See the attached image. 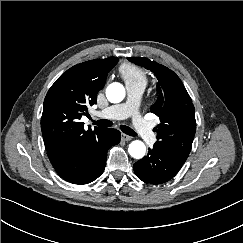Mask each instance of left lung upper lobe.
<instances>
[{"instance_id":"1","label":"left lung upper lobe","mask_w":243,"mask_h":243,"mask_svg":"<svg viewBox=\"0 0 243 243\" xmlns=\"http://www.w3.org/2000/svg\"><path fill=\"white\" fill-rule=\"evenodd\" d=\"M131 62L151 70L158 79V99L151 106L161 123L154 128L162 148L183 161L189 156L196 131L195 109L180 78L167 67L148 58L130 57Z\"/></svg>"}]
</instances>
